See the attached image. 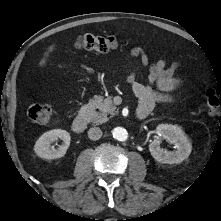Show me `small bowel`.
I'll return each mask as SVG.
<instances>
[{
  "instance_id": "c3829d8e",
  "label": "small bowel",
  "mask_w": 221,
  "mask_h": 221,
  "mask_svg": "<svg viewBox=\"0 0 221 221\" xmlns=\"http://www.w3.org/2000/svg\"><path fill=\"white\" fill-rule=\"evenodd\" d=\"M53 50L54 46H50L47 49L41 61L42 66L47 63L48 57ZM130 56L132 59H140L144 66L148 65V57L143 49L139 47L131 49ZM179 66L178 62H173L170 65H167L165 60L153 62L149 69L150 85L137 81L134 72H130L127 75L126 81L131 85L134 94L139 99L138 112L147 116L157 103H170L173 101L171 92L181 85V80L175 75Z\"/></svg>"
}]
</instances>
